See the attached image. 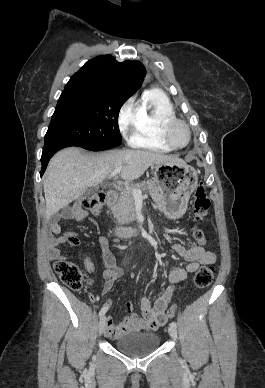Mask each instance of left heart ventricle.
<instances>
[{
  "mask_svg": "<svg viewBox=\"0 0 265 388\" xmlns=\"http://www.w3.org/2000/svg\"><path fill=\"white\" fill-rule=\"evenodd\" d=\"M172 138L177 145H182L186 142V132L181 126H174L172 130Z\"/></svg>",
  "mask_w": 265,
  "mask_h": 388,
  "instance_id": "left-heart-ventricle-1",
  "label": "left heart ventricle"
}]
</instances>
